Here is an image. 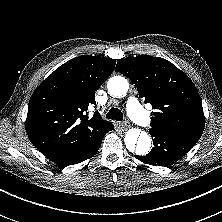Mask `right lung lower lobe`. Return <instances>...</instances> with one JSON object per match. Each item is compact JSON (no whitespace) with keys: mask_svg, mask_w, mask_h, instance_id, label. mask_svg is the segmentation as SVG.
<instances>
[{"mask_svg":"<svg viewBox=\"0 0 222 222\" xmlns=\"http://www.w3.org/2000/svg\"><path fill=\"white\" fill-rule=\"evenodd\" d=\"M113 129L114 127L111 124L105 131H103V133L97 139H95V141H93V143L87 149L69 158L55 161V163L62 167H66L68 165L77 164V163L83 162L84 160L88 158H91L98 151L106 132H109Z\"/></svg>","mask_w":222,"mask_h":222,"instance_id":"1","label":"right lung lower lobe"}]
</instances>
